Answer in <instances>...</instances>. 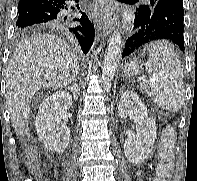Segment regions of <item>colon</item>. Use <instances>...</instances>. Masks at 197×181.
Listing matches in <instances>:
<instances>
[{
	"label": "colon",
	"instance_id": "obj_1",
	"mask_svg": "<svg viewBox=\"0 0 197 181\" xmlns=\"http://www.w3.org/2000/svg\"><path fill=\"white\" fill-rule=\"evenodd\" d=\"M175 140V131L171 126L164 128L161 138V143L158 149L159 163L157 166L156 176L152 181H169L173 172V152L172 147ZM28 166L31 170L37 171L38 161L34 155H32L28 161Z\"/></svg>",
	"mask_w": 197,
	"mask_h": 181
}]
</instances>
